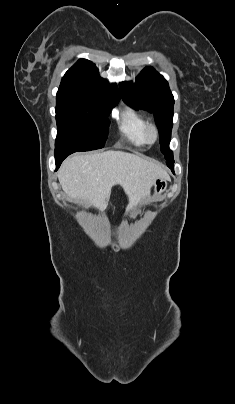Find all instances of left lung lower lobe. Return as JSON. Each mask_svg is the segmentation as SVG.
<instances>
[{"instance_id": "obj_1", "label": "left lung lower lobe", "mask_w": 235, "mask_h": 404, "mask_svg": "<svg viewBox=\"0 0 235 404\" xmlns=\"http://www.w3.org/2000/svg\"><path fill=\"white\" fill-rule=\"evenodd\" d=\"M167 166L172 170V172L174 173V165L173 164H167Z\"/></svg>"}]
</instances>
